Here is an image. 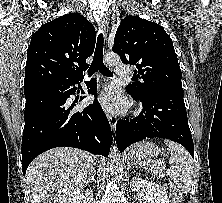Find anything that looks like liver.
Masks as SVG:
<instances>
[{"instance_id": "liver-1", "label": "liver", "mask_w": 222, "mask_h": 203, "mask_svg": "<svg viewBox=\"0 0 222 203\" xmlns=\"http://www.w3.org/2000/svg\"><path fill=\"white\" fill-rule=\"evenodd\" d=\"M96 163L89 153L69 147L40 154L26 171L30 203H64L83 190Z\"/></svg>"}]
</instances>
